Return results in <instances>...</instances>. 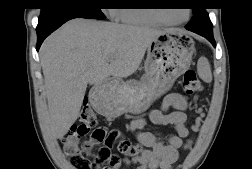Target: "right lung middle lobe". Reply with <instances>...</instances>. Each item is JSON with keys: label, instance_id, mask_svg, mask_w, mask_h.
<instances>
[{"label": "right lung middle lobe", "instance_id": "right-lung-middle-lobe-1", "mask_svg": "<svg viewBox=\"0 0 252 169\" xmlns=\"http://www.w3.org/2000/svg\"><path fill=\"white\" fill-rule=\"evenodd\" d=\"M39 22L65 15H80L91 19H104L102 0H44Z\"/></svg>", "mask_w": 252, "mask_h": 169}]
</instances>
